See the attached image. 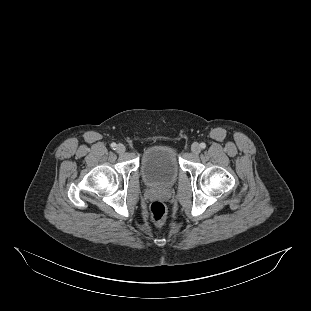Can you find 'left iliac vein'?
<instances>
[{
	"label": "left iliac vein",
	"instance_id": "obj_1",
	"mask_svg": "<svg viewBox=\"0 0 311 311\" xmlns=\"http://www.w3.org/2000/svg\"><path fill=\"white\" fill-rule=\"evenodd\" d=\"M191 150L194 154H199L201 151L200 145L198 143H193L191 146Z\"/></svg>",
	"mask_w": 311,
	"mask_h": 311
}]
</instances>
